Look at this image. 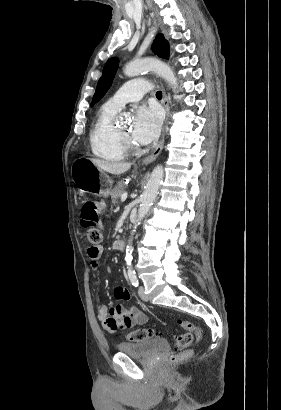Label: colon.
<instances>
[{"mask_svg":"<svg viewBox=\"0 0 281 410\" xmlns=\"http://www.w3.org/2000/svg\"><path fill=\"white\" fill-rule=\"evenodd\" d=\"M98 204L93 200L87 201L82 208L81 223L86 228V235L89 242L93 245H99L102 241V233L97 227ZM179 325L185 332L172 340V345L179 352L171 356V362L177 363L188 357L187 348L192 344L194 337L201 339L203 330L200 326L189 321H179ZM159 337L158 332L150 328H139L129 332L127 338L130 342H139L149 338Z\"/></svg>","mask_w":281,"mask_h":410,"instance_id":"obj_1","label":"colon"}]
</instances>
